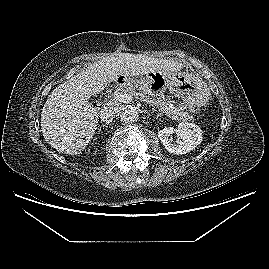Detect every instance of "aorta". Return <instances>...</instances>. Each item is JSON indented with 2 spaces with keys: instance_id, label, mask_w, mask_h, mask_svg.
I'll list each match as a JSON object with an SVG mask.
<instances>
[{
  "instance_id": "aorta-1",
  "label": "aorta",
  "mask_w": 269,
  "mask_h": 269,
  "mask_svg": "<svg viewBox=\"0 0 269 269\" xmlns=\"http://www.w3.org/2000/svg\"><path fill=\"white\" fill-rule=\"evenodd\" d=\"M139 119V113L136 109L130 108L123 112L122 120L126 123H133Z\"/></svg>"
}]
</instances>
